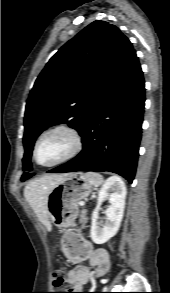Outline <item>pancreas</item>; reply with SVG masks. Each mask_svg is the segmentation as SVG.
I'll return each instance as SVG.
<instances>
[{
  "mask_svg": "<svg viewBox=\"0 0 170 293\" xmlns=\"http://www.w3.org/2000/svg\"><path fill=\"white\" fill-rule=\"evenodd\" d=\"M87 217H86V211H82L80 214V219H79V223L82 225V227L85 226V223L87 222Z\"/></svg>",
  "mask_w": 170,
  "mask_h": 293,
  "instance_id": "obj_1",
  "label": "pancreas"
}]
</instances>
